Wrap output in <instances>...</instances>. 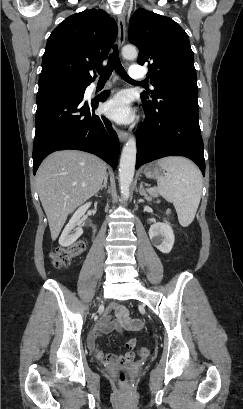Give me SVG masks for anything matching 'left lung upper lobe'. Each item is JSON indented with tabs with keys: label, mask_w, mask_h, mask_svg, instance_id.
Wrapping results in <instances>:
<instances>
[{
	"label": "left lung upper lobe",
	"mask_w": 243,
	"mask_h": 409,
	"mask_svg": "<svg viewBox=\"0 0 243 409\" xmlns=\"http://www.w3.org/2000/svg\"><path fill=\"white\" fill-rule=\"evenodd\" d=\"M129 41L139 49L138 63L149 67L153 89L141 97L155 100L171 84L197 81L188 35L171 18L138 9L130 19Z\"/></svg>",
	"instance_id": "left-lung-upper-lobe-1"
}]
</instances>
